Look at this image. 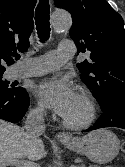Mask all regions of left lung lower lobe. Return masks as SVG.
Instances as JSON below:
<instances>
[{
	"label": "left lung lower lobe",
	"instance_id": "left-lung-lower-lobe-1",
	"mask_svg": "<svg viewBox=\"0 0 125 167\" xmlns=\"http://www.w3.org/2000/svg\"><path fill=\"white\" fill-rule=\"evenodd\" d=\"M103 114L94 126L85 130L92 131L104 127H118L125 129V99H113L102 108Z\"/></svg>",
	"mask_w": 125,
	"mask_h": 167
}]
</instances>
